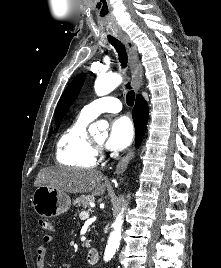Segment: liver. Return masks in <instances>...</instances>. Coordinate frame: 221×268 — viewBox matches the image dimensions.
<instances>
[{"label":"liver","mask_w":221,"mask_h":268,"mask_svg":"<svg viewBox=\"0 0 221 268\" xmlns=\"http://www.w3.org/2000/svg\"><path fill=\"white\" fill-rule=\"evenodd\" d=\"M103 174L90 169H73L67 167H46L39 171L34 186L46 185L56 190L69 193H88L101 196L105 193L108 183H102Z\"/></svg>","instance_id":"1"}]
</instances>
